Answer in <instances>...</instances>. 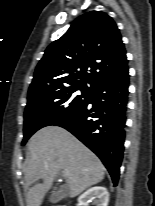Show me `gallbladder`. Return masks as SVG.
I'll list each match as a JSON object with an SVG mask.
<instances>
[{"instance_id": "obj_1", "label": "gallbladder", "mask_w": 155, "mask_h": 206, "mask_svg": "<svg viewBox=\"0 0 155 206\" xmlns=\"http://www.w3.org/2000/svg\"><path fill=\"white\" fill-rule=\"evenodd\" d=\"M65 197H66V191H65V189H62V190H58V191H53L50 195L49 200L52 203H57Z\"/></svg>"}]
</instances>
